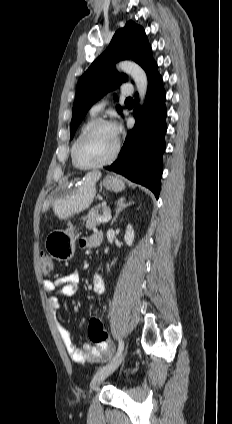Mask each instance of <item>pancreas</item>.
Instances as JSON below:
<instances>
[{
    "label": "pancreas",
    "mask_w": 232,
    "mask_h": 424,
    "mask_svg": "<svg viewBox=\"0 0 232 424\" xmlns=\"http://www.w3.org/2000/svg\"><path fill=\"white\" fill-rule=\"evenodd\" d=\"M103 211L106 213H110V209L109 207H107L105 204L102 205ZM100 206L94 207L93 209H91V211L89 212L88 216H87V220H86V228L88 229H94L97 225L103 223V222H99L97 220L98 217H100Z\"/></svg>",
    "instance_id": "obj_1"
}]
</instances>
